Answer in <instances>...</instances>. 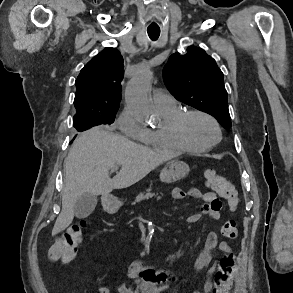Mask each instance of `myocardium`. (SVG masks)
I'll return each instance as SVG.
<instances>
[{"mask_svg":"<svg viewBox=\"0 0 293 293\" xmlns=\"http://www.w3.org/2000/svg\"><path fill=\"white\" fill-rule=\"evenodd\" d=\"M193 115L202 116L206 118L207 120H209L214 125L217 132V138L214 141L205 145H196L187 138L186 131H185L186 122H187V119ZM174 132L177 138L182 143H184L185 145H187L189 148L193 149L194 151L208 150L212 148L213 146H215L216 144H218L222 140V128L220 123L211 114L199 109H191V110L182 111L175 119Z\"/></svg>","mask_w":293,"mask_h":293,"instance_id":"f54148a6","label":"myocardium"}]
</instances>
